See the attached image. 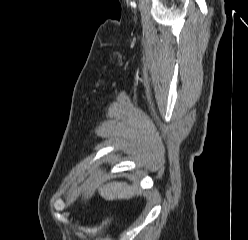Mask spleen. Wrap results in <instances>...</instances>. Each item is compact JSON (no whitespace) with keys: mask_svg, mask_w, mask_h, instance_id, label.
<instances>
[{"mask_svg":"<svg viewBox=\"0 0 248 240\" xmlns=\"http://www.w3.org/2000/svg\"><path fill=\"white\" fill-rule=\"evenodd\" d=\"M135 193V188L125 182H113L103 187L100 191L101 196L106 200L128 199Z\"/></svg>","mask_w":248,"mask_h":240,"instance_id":"3e777b00","label":"spleen"}]
</instances>
